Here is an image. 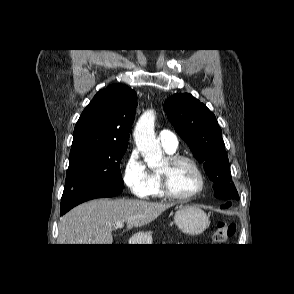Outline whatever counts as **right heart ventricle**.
<instances>
[{
	"label": "right heart ventricle",
	"mask_w": 294,
	"mask_h": 294,
	"mask_svg": "<svg viewBox=\"0 0 294 294\" xmlns=\"http://www.w3.org/2000/svg\"><path fill=\"white\" fill-rule=\"evenodd\" d=\"M166 151V150H165ZM168 154H173L174 152H168ZM153 183L150 188V196L156 198H163L165 195L163 194L161 187H160V176L158 172H153Z\"/></svg>",
	"instance_id": "right-heart-ventricle-1"
}]
</instances>
